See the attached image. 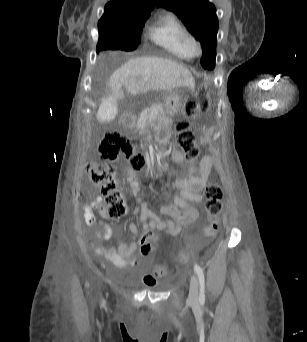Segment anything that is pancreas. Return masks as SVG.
I'll list each match as a JSON object with an SVG mask.
<instances>
[{
	"label": "pancreas",
	"instance_id": "1",
	"mask_svg": "<svg viewBox=\"0 0 307 342\" xmlns=\"http://www.w3.org/2000/svg\"><path fill=\"white\" fill-rule=\"evenodd\" d=\"M162 114H164L163 106H161V104H153L149 110H145V112L140 114L136 124L137 130H144V128H146L147 120L161 119Z\"/></svg>",
	"mask_w": 307,
	"mask_h": 342
}]
</instances>
